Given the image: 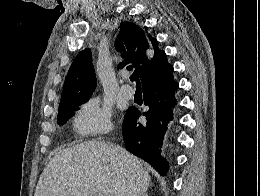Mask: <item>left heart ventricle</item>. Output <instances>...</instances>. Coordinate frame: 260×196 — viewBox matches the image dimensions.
<instances>
[{"label": "left heart ventricle", "mask_w": 260, "mask_h": 196, "mask_svg": "<svg viewBox=\"0 0 260 196\" xmlns=\"http://www.w3.org/2000/svg\"><path fill=\"white\" fill-rule=\"evenodd\" d=\"M96 192H108V190H95ZM55 192H65V190H55Z\"/></svg>", "instance_id": "b2bd125f"}]
</instances>
